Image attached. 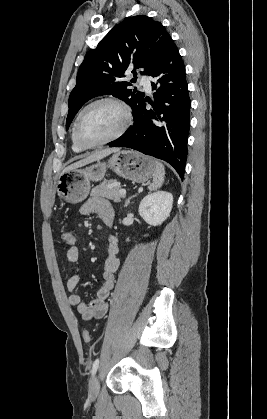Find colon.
<instances>
[{
	"instance_id": "colon-1",
	"label": "colon",
	"mask_w": 267,
	"mask_h": 419,
	"mask_svg": "<svg viewBox=\"0 0 267 419\" xmlns=\"http://www.w3.org/2000/svg\"><path fill=\"white\" fill-rule=\"evenodd\" d=\"M61 239L68 246H73L76 243V236L72 231H64L62 233ZM82 336L85 342H90L91 333L88 330H84Z\"/></svg>"
}]
</instances>
